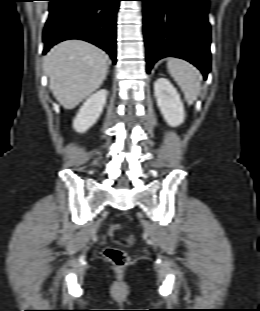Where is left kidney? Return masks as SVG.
Segmentation results:
<instances>
[{
	"label": "left kidney",
	"mask_w": 260,
	"mask_h": 311,
	"mask_svg": "<svg viewBox=\"0 0 260 311\" xmlns=\"http://www.w3.org/2000/svg\"><path fill=\"white\" fill-rule=\"evenodd\" d=\"M154 93L157 105L171 127H177L184 122V106L180 95L166 78H159L154 83Z\"/></svg>",
	"instance_id": "left-kidney-1"
}]
</instances>
